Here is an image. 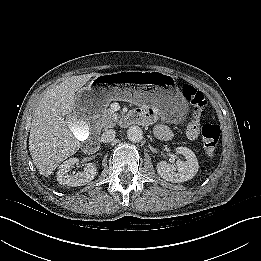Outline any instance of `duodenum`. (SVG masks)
I'll list each match as a JSON object with an SVG mask.
<instances>
[{
	"label": "duodenum",
	"instance_id": "duodenum-1",
	"mask_svg": "<svg viewBox=\"0 0 261 261\" xmlns=\"http://www.w3.org/2000/svg\"><path fill=\"white\" fill-rule=\"evenodd\" d=\"M132 122H133L132 116H127L123 120L124 124L132 123ZM96 131H97V127H96ZM98 145H99L98 139L97 138H91L85 144V150H86V152H92L98 147Z\"/></svg>",
	"mask_w": 261,
	"mask_h": 261
}]
</instances>
